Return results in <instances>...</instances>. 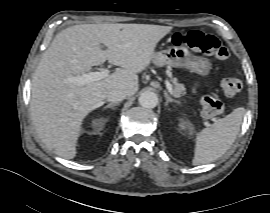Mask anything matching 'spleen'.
Masks as SVG:
<instances>
[{"mask_svg": "<svg viewBox=\"0 0 270 213\" xmlns=\"http://www.w3.org/2000/svg\"><path fill=\"white\" fill-rule=\"evenodd\" d=\"M245 114L244 108H236L210 127L196 134L193 165L211 163L221 157L234 143Z\"/></svg>", "mask_w": 270, "mask_h": 213, "instance_id": "1", "label": "spleen"}]
</instances>
